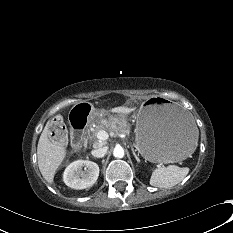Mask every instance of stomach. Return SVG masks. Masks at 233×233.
<instances>
[{
	"mask_svg": "<svg viewBox=\"0 0 233 233\" xmlns=\"http://www.w3.org/2000/svg\"><path fill=\"white\" fill-rule=\"evenodd\" d=\"M135 119V147L150 162L181 161L198 147L199 131L194 116L175 102L150 99L142 104Z\"/></svg>",
	"mask_w": 233,
	"mask_h": 233,
	"instance_id": "obj_1",
	"label": "stomach"
}]
</instances>
